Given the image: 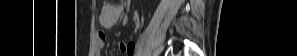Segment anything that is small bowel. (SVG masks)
I'll return each mask as SVG.
<instances>
[{
	"mask_svg": "<svg viewBox=\"0 0 297 56\" xmlns=\"http://www.w3.org/2000/svg\"><path fill=\"white\" fill-rule=\"evenodd\" d=\"M124 4H125L124 0H118V1H110L102 5L99 19L101 24L105 28H110L117 23L121 15ZM105 46H106V35L103 32H100L98 34V42H97L98 56L100 55V50H102ZM133 48L134 47L132 44H126L124 42H121L119 44V49L122 52H126L128 55L132 54Z\"/></svg>",
	"mask_w": 297,
	"mask_h": 56,
	"instance_id": "c3829d8e",
	"label": "small bowel"
}]
</instances>
